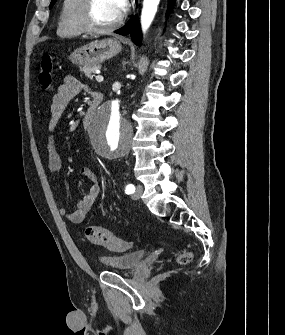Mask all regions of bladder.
Wrapping results in <instances>:
<instances>
[{
    "label": "bladder",
    "instance_id": "1",
    "mask_svg": "<svg viewBox=\"0 0 285 335\" xmlns=\"http://www.w3.org/2000/svg\"><path fill=\"white\" fill-rule=\"evenodd\" d=\"M147 252L145 250L141 251H129L114 255H106L100 258V265H116V272L125 273L132 272L137 266L141 265L146 256ZM125 265L127 270L122 272L120 267Z\"/></svg>",
    "mask_w": 285,
    "mask_h": 335
}]
</instances>
